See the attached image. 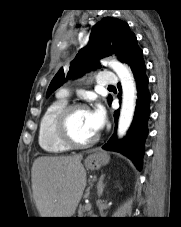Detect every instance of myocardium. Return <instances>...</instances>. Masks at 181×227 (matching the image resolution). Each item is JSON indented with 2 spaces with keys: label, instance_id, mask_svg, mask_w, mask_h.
<instances>
[{
  "label": "myocardium",
  "instance_id": "f54148a6",
  "mask_svg": "<svg viewBox=\"0 0 181 227\" xmlns=\"http://www.w3.org/2000/svg\"><path fill=\"white\" fill-rule=\"evenodd\" d=\"M77 110H88V107L83 103H70L64 106L55 119V131L59 140L67 146L87 148L98 141L99 134H95L90 139L84 141L77 140L73 137L70 131V119Z\"/></svg>",
  "mask_w": 181,
  "mask_h": 227
}]
</instances>
